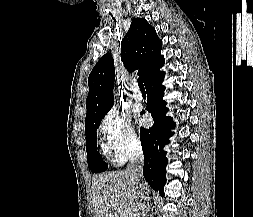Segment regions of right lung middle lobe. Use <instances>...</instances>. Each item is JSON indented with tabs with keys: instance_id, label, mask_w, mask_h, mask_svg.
Masks as SVG:
<instances>
[{
	"instance_id": "dd1d6c3e",
	"label": "right lung middle lobe",
	"mask_w": 253,
	"mask_h": 217,
	"mask_svg": "<svg viewBox=\"0 0 253 217\" xmlns=\"http://www.w3.org/2000/svg\"><path fill=\"white\" fill-rule=\"evenodd\" d=\"M106 113L89 120L85 123L86 150L88 167L92 173H99L107 170L108 165L105 163L97 151V132L100 122Z\"/></svg>"
}]
</instances>
